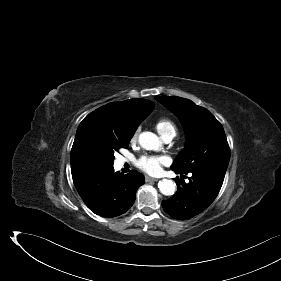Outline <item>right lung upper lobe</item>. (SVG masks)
<instances>
[{
  "instance_id": "cb5924a9",
  "label": "right lung upper lobe",
  "mask_w": 281,
  "mask_h": 281,
  "mask_svg": "<svg viewBox=\"0 0 281 281\" xmlns=\"http://www.w3.org/2000/svg\"><path fill=\"white\" fill-rule=\"evenodd\" d=\"M152 110L151 101L134 98L107 104L88 114L77 129L71 149L73 182L107 168L110 145L132 138Z\"/></svg>"
}]
</instances>
